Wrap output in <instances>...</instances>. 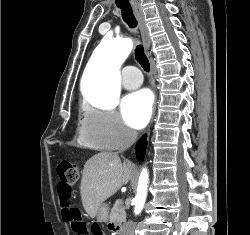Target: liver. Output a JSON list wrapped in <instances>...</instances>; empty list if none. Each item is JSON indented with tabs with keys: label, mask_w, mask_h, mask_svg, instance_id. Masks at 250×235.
Returning a JSON list of instances; mask_svg holds the SVG:
<instances>
[{
	"label": "liver",
	"mask_w": 250,
	"mask_h": 235,
	"mask_svg": "<svg viewBox=\"0 0 250 235\" xmlns=\"http://www.w3.org/2000/svg\"><path fill=\"white\" fill-rule=\"evenodd\" d=\"M133 164L121 162L117 153L101 152L84 165L80 186L81 200L91 218L99 206L129 182Z\"/></svg>",
	"instance_id": "6515ba94"
}]
</instances>
